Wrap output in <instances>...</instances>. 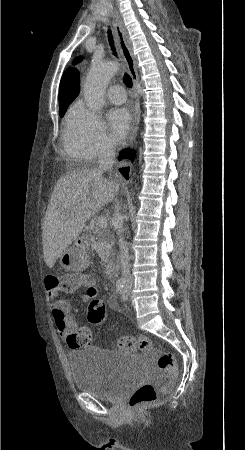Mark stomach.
I'll return each instance as SVG.
<instances>
[{
    "instance_id": "obj_1",
    "label": "stomach",
    "mask_w": 245,
    "mask_h": 450,
    "mask_svg": "<svg viewBox=\"0 0 245 450\" xmlns=\"http://www.w3.org/2000/svg\"><path fill=\"white\" fill-rule=\"evenodd\" d=\"M89 260L87 249L77 242L59 257L61 266L71 271L84 270L88 266Z\"/></svg>"
}]
</instances>
